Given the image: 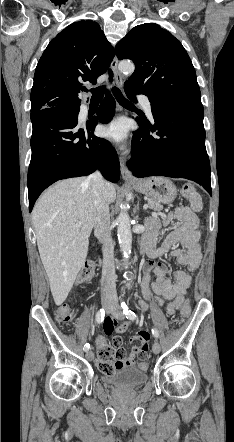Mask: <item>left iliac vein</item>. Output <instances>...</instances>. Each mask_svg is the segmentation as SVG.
I'll use <instances>...</instances> for the list:
<instances>
[{
  "label": "left iliac vein",
  "instance_id": "4c4485c4",
  "mask_svg": "<svg viewBox=\"0 0 234 442\" xmlns=\"http://www.w3.org/2000/svg\"><path fill=\"white\" fill-rule=\"evenodd\" d=\"M110 312L112 313V315H113L116 319H123V314H122V312H121V309H120V307H119V305H118V302H117V299H116V298H114V300H113L112 303H111V306H110ZM160 349H161V347H160L159 342H158V341H155V342L153 343V345H152V351H153L155 354H158V353L160 352Z\"/></svg>",
  "mask_w": 234,
  "mask_h": 442
}]
</instances>
